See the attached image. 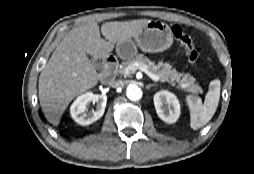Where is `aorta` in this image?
I'll return each instance as SVG.
<instances>
[{"label": "aorta", "instance_id": "1", "mask_svg": "<svg viewBox=\"0 0 254 174\" xmlns=\"http://www.w3.org/2000/svg\"><path fill=\"white\" fill-rule=\"evenodd\" d=\"M128 99L137 101L142 98V90L136 85H129L126 89Z\"/></svg>", "mask_w": 254, "mask_h": 174}]
</instances>
